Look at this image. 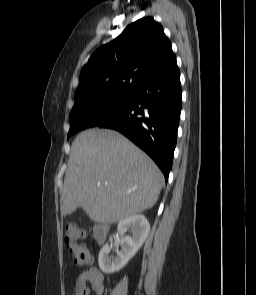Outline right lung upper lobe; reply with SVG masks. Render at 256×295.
<instances>
[{"label": "right lung upper lobe", "mask_w": 256, "mask_h": 295, "mask_svg": "<svg viewBox=\"0 0 256 295\" xmlns=\"http://www.w3.org/2000/svg\"><path fill=\"white\" fill-rule=\"evenodd\" d=\"M173 56L163 27L152 17L139 19L90 57L81 70L75 101L135 92Z\"/></svg>", "instance_id": "1"}]
</instances>
